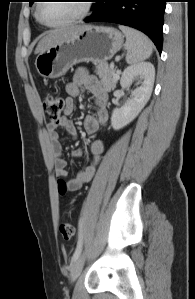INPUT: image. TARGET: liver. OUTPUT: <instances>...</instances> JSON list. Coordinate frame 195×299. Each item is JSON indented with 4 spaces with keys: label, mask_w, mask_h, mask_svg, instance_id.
<instances>
[{
    "label": "liver",
    "mask_w": 195,
    "mask_h": 299,
    "mask_svg": "<svg viewBox=\"0 0 195 299\" xmlns=\"http://www.w3.org/2000/svg\"><path fill=\"white\" fill-rule=\"evenodd\" d=\"M84 26L61 28L48 32L41 38L36 49L35 54H39L44 50L62 42L63 40L75 35L78 30Z\"/></svg>",
    "instance_id": "liver-1"
}]
</instances>
